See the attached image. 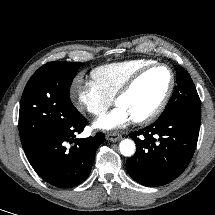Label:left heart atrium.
<instances>
[{"label": "left heart atrium", "instance_id": "39dd6f15", "mask_svg": "<svg viewBox=\"0 0 215 215\" xmlns=\"http://www.w3.org/2000/svg\"><path fill=\"white\" fill-rule=\"evenodd\" d=\"M134 120L129 111L117 105L110 112L101 116L94 122V127L104 131H113L128 126Z\"/></svg>", "mask_w": 215, "mask_h": 215}]
</instances>
